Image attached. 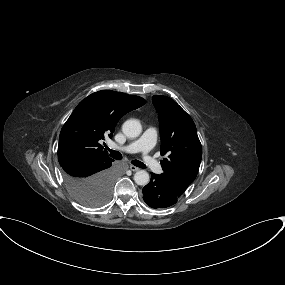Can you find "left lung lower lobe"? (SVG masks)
Masks as SVG:
<instances>
[{"mask_svg": "<svg viewBox=\"0 0 285 285\" xmlns=\"http://www.w3.org/2000/svg\"><path fill=\"white\" fill-rule=\"evenodd\" d=\"M182 194L167 178L154 173H151L149 184L143 188V199L152 208L172 206Z\"/></svg>", "mask_w": 285, "mask_h": 285, "instance_id": "1", "label": "left lung lower lobe"}]
</instances>
